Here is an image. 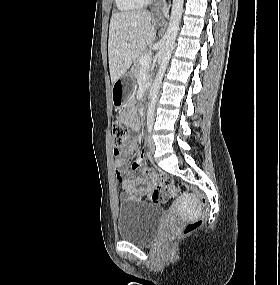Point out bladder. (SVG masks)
I'll return each mask as SVG.
<instances>
[{"instance_id":"bladder-1","label":"bladder","mask_w":280,"mask_h":285,"mask_svg":"<svg viewBox=\"0 0 280 285\" xmlns=\"http://www.w3.org/2000/svg\"><path fill=\"white\" fill-rule=\"evenodd\" d=\"M164 211L146 202H121L117 215L118 237L139 244H149L157 236Z\"/></svg>"}]
</instances>
